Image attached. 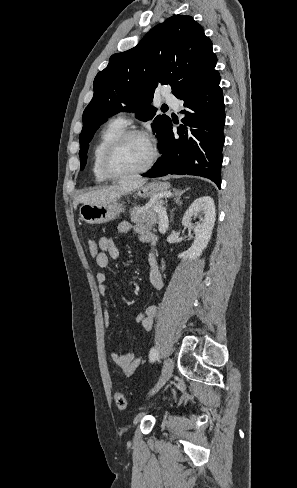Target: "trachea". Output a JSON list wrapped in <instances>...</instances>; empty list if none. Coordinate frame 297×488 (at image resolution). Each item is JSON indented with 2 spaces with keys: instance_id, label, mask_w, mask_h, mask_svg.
Masks as SVG:
<instances>
[{
  "instance_id": "trachea-1",
  "label": "trachea",
  "mask_w": 297,
  "mask_h": 488,
  "mask_svg": "<svg viewBox=\"0 0 297 488\" xmlns=\"http://www.w3.org/2000/svg\"><path fill=\"white\" fill-rule=\"evenodd\" d=\"M163 107H164V108H167L168 106H167V105H164Z\"/></svg>"
}]
</instances>
